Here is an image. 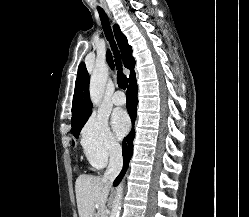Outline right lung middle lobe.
Instances as JSON below:
<instances>
[{"label":"right lung middle lobe","instance_id":"dd1d6c3e","mask_svg":"<svg viewBox=\"0 0 249 217\" xmlns=\"http://www.w3.org/2000/svg\"><path fill=\"white\" fill-rule=\"evenodd\" d=\"M89 116L90 115H88L83 120L79 121L78 123L72 125L71 132L74 135V137L78 138L79 133H80L82 127L84 126V124L86 123V121L88 120Z\"/></svg>","mask_w":249,"mask_h":217}]
</instances>
